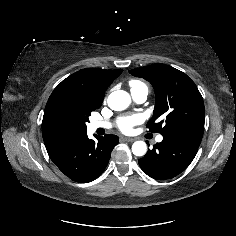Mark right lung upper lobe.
Masks as SVG:
<instances>
[{"label": "right lung upper lobe", "mask_w": 236, "mask_h": 236, "mask_svg": "<svg viewBox=\"0 0 236 236\" xmlns=\"http://www.w3.org/2000/svg\"><path fill=\"white\" fill-rule=\"evenodd\" d=\"M122 71V69H82L67 77L54 89L46 104L42 121V135L49 156L70 141L86 134L65 130L53 123L49 116V104L52 96L64 93L76 103L100 107L105 91Z\"/></svg>", "instance_id": "1"}]
</instances>
